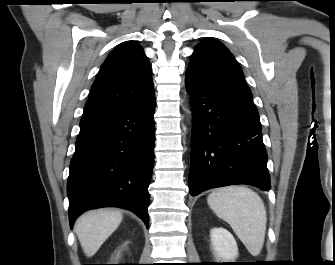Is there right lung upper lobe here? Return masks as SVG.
Instances as JSON below:
<instances>
[{
    "label": "right lung upper lobe",
    "instance_id": "1",
    "mask_svg": "<svg viewBox=\"0 0 335 265\" xmlns=\"http://www.w3.org/2000/svg\"><path fill=\"white\" fill-rule=\"evenodd\" d=\"M151 67L142 48L126 41L102 64L83 116L124 109L153 96Z\"/></svg>",
    "mask_w": 335,
    "mask_h": 265
}]
</instances>
